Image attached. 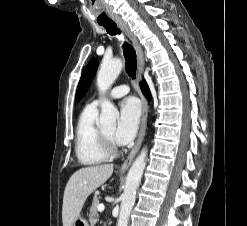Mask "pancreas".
I'll use <instances>...</instances> for the list:
<instances>
[{"instance_id":"1","label":"pancreas","mask_w":247,"mask_h":226,"mask_svg":"<svg viewBox=\"0 0 247 226\" xmlns=\"http://www.w3.org/2000/svg\"><path fill=\"white\" fill-rule=\"evenodd\" d=\"M99 205V198L94 197L92 201V206L90 208V214H89V222L93 226L98 221V212H97V206Z\"/></svg>"}]
</instances>
